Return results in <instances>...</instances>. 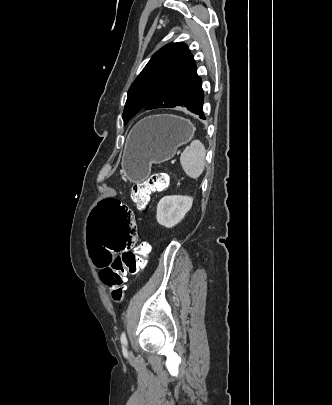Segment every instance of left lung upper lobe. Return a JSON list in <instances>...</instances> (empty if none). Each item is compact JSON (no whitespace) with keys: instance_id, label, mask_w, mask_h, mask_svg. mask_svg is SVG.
I'll list each match as a JSON object with an SVG mask.
<instances>
[{"instance_id":"5c2ea615","label":"left lung upper lobe","mask_w":332,"mask_h":405,"mask_svg":"<svg viewBox=\"0 0 332 405\" xmlns=\"http://www.w3.org/2000/svg\"><path fill=\"white\" fill-rule=\"evenodd\" d=\"M201 85L187 45L167 44L152 56L131 85L122 115L124 124L143 108L193 109L199 100Z\"/></svg>"}]
</instances>
